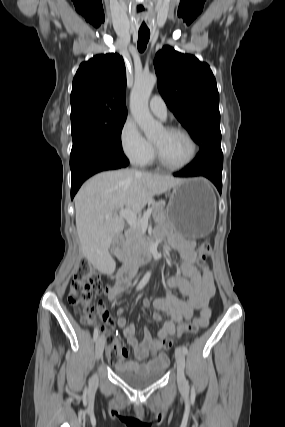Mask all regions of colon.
<instances>
[{"label": "colon", "mask_w": 285, "mask_h": 427, "mask_svg": "<svg viewBox=\"0 0 285 427\" xmlns=\"http://www.w3.org/2000/svg\"><path fill=\"white\" fill-rule=\"evenodd\" d=\"M200 260L206 261L212 255V247L209 243H202L198 249ZM109 291L108 287L102 282L100 275L87 261L79 262L77 269L73 275L68 293V301L71 305L78 309L81 317V322L84 325H91L95 318V308L92 305V300L96 295L103 294ZM201 327L200 318H195L187 324H183L178 328V334L195 333ZM171 340L167 339L164 342L165 348H170ZM106 352L108 358L112 361H118L120 357V344L116 336L109 334L107 337Z\"/></svg>", "instance_id": "colon-1"}]
</instances>
